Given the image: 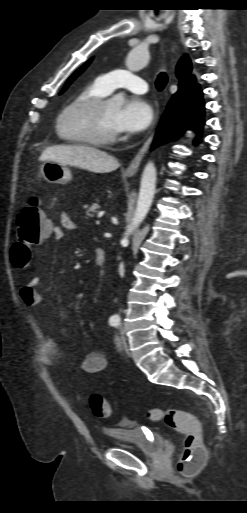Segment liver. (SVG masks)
<instances>
[{
	"label": "liver",
	"instance_id": "liver-1",
	"mask_svg": "<svg viewBox=\"0 0 247 513\" xmlns=\"http://www.w3.org/2000/svg\"><path fill=\"white\" fill-rule=\"evenodd\" d=\"M39 160L69 164L94 173H109L119 167L118 161L109 154L83 145L48 147L42 152Z\"/></svg>",
	"mask_w": 247,
	"mask_h": 513
}]
</instances>
